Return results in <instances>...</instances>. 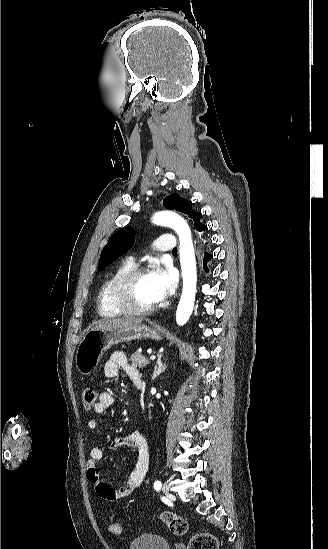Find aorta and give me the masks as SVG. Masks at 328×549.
Segmentation results:
<instances>
[{"instance_id": "aorta-1", "label": "aorta", "mask_w": 328, "mask_h": 549, "mask_svg": "<svg viewBox=\"0 0 328 549\" xmlns=\"http://www.w3.org/2000/svg\"><path fill=\"white\" fill-rule=\"evenodd\" d=\"M153 223L174 229L180 240V263L183 277L181 298L176 311V322L183 326L190 318L196 294L197 270L191 231L186 221L172 211L156 213Z\"/></svg>"}]
</instances>
